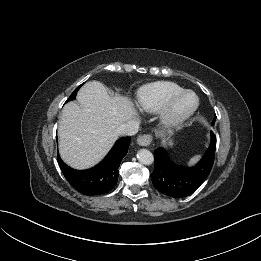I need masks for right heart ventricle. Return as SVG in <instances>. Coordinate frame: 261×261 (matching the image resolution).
I'll return each instance as SVG.
<instances>
[{
    "label": "right heart ventricle",
    "mask_w": 261,
    "mask_h": 261,
    "mask_svg": "<svg viewBox=\"0 0 261 261\" xmlns=\"http://www.w3.org/2000/svg\"><path fill=\"white\" fill-rule=\"evenodd\" d=\"M184 90L180 85L170 81H158L140 88L137 103L141 110L156 113L177 93Z\"/></svg>",
    "instance_id": "e07e8e85"
}]
</instances>
